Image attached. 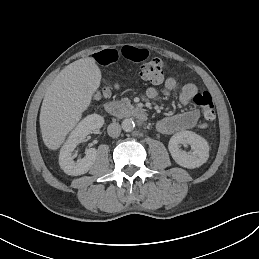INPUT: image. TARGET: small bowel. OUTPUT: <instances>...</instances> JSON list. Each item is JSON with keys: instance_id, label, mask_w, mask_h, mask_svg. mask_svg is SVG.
<instances>
[{"instance_id": "1", "label": "small bowel", "mask_w": 259, "mask_h": 259, "mask_svg": "<svg viewBox=\"0 0 259 259\" xmlns=\"http://www.w3.org/2000/svg\"><path fill=\"white\" fill-rule=\"evenodd\" d=\"M147 56L148 50L146 48L125 45L121 48L101 50L95 53L93 58L99 65L107 66L115 63L121 58L139 62L146 59ZM175 91H179V100L181 104L188 105L198 93V88L195 84L192 83L182 85L177 79L173 77L167 78L163 84L161 93L165 96H171ZM158 94L159 91L153 87L147 90V96L149 98H156ZM200 116L201 114L198 109H190L176 115H171L159 119L156 123V128L164 135H171L179 131L196 127H207V122H202L200 120Z\"/></svg>"}]
</instances>
